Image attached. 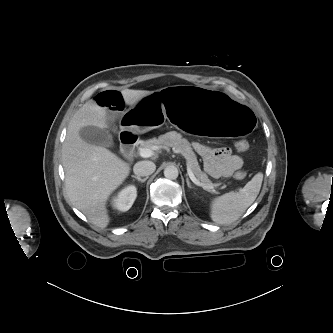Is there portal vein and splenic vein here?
I'll list each match as a JSON object with an SVG mask.
<instances>
[{
    "label": "portal vein and splenic vein",
    "instance_id": "portal-vein-and-splenic-vein-1",
    "mask_svg": "<svg viewBox=\"0 0 333 333\" xmlns=\"http://www.w3.org/2000/svg\"><path fill=\"white\" fill-rule=\"evenodd\" d=\"M139 155L143 158H148L153 155V151L150 148H141L139 150ZM187 173H188L189 178L192 180V182L194 184H196L197 186H200L203 189H214V185H206V184L202 183L198 178H196V176L194 175V173L192 172V170L190 169L189 166H187Z\"/></svg>",
    "mask_w": 333,
    "mask_h": 333
}]
</instances>
